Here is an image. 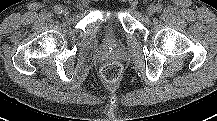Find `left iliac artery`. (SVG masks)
I'll return each mask as SVG.
<instances>
[{
	"instance_id": "1",
	"label": "left iliac artery",
	"mask_w": 217,
	"mask_h": 121,
	"mask_svg": "<svg viewBox=\"0 0 217 121\" xmlns=\"http://www.w3.org/2000/svg\"><path fill=\"white\" fill-rule=\"evenodd\" d=\"M155 8H156L157 12H160L163 7H162V4L158 3V4H156Z\"/></svg>"
}]
</instances>
